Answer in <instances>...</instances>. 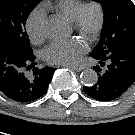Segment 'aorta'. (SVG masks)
<instances>
[{
  "label": "aorta",
  "mask_w": 135,
  "mask_h": 135,
  "mask_svg": "<svg viewBox=\"0 0 135 135\" xmlns=\"http://www.w3.org/2000/svg\"><path fill=\"white\" fill-rule=\"evenodd\" d=\"M43 34L47 39L57 40L64 34V26L57 19H49L43 26ZM81 82L86 86H93L98 80V75L93 69H86L80 75Z\"/></svg>",
  "instance_id": "obj_1"
}]
</instances>
